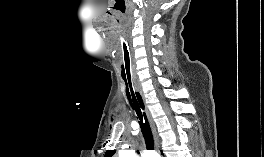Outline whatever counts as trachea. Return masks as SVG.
Wrapping results in <instances>:
<instances>
[{"mask_svg": "<svg viewBox=\"0 0 264 157\" xmlns=\"http://www.w3.org/2000/svg\"><path fill=\"white\" fill-rule=\"evenodd\" d=\"M121 76L126 85V95L130 105L135 109L139 125L145 139L147 150H154V139L152 131L144 112V103L141 95L135 90V83L133 77V63L129 46L124 43L122 45V67Z\"/></svg>", "mask_w": 264, "mask_h": 157, "instance_id": "3493384b", "label": "trachea"}]
</instances>
